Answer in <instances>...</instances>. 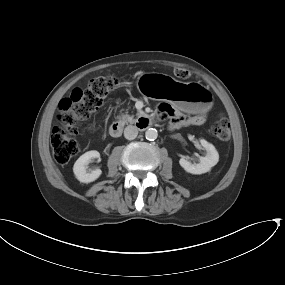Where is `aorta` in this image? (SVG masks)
Returning a JSON list of instances; mask_svg holds the SVG:
<instances>
[{
    "instance_id": "1",
    "label": "aorta",
    "mask_w": 285,
    "mask_h": 285,
    "mask_svg": "<svg viewBox=\"0 0 285 285\" xmlns=\"http://www.w3.org/2000/svg\"><path fill=\"white\" fill-rule=\"evenodd\" d=\"M145 137L147 140L154 141L158 137V132L155 128H149L145 132Z\"/></svg>"
}]
</instances>
